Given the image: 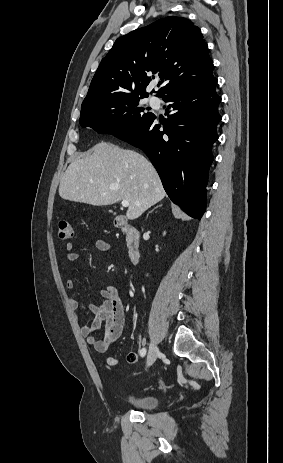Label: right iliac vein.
I'll list each match as a JSON object with an SVG mask.
<instances>
[{
	"instance_id": "1",
	"label": "right iliac vein",
	"mask_w": 283,
	"mask_h": 463,
	"mask_svg": "<svg viewBox=\"0 0 283 463\" xmlns=\"http://www.w3.org/2000/svg\"><path fill=\"white\" fill-rule=\"evenodd\" d=\"M158 355H159V348H158L157 344L153 341V342H151L149 352L147 354V360H146L147 367H150L151 365L154 364V362L156 361Z\"/></svg>"
}]
</instances>
